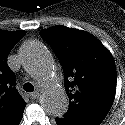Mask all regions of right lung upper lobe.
Segmentation results:
<instances>
[{"label":"right lung upper lobe","mask_w":125,"mask_h":125,"mask_svg":"<svg viewBox=\"0 0 125 125\" xmlns=\"http://www.w3.org/2000/svg\"><path fill=\"white\" fill-rule=\"evenodd\" d=\"M25 34L26 31L0 30V125L26 106L15 88L16 76L7 64L9 53Z\"/></svg>","instance_id":"1"}]
</instances>
